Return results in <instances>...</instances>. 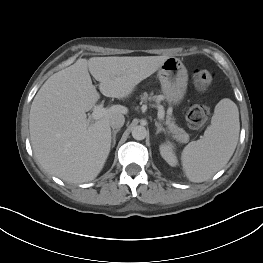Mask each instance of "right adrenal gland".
<instances>
[{"mask_svg":"<svg viewBox=\"0 0 263 263\" xmlns=\"http://www.w3.org/2000/svg\"><path fill=\"white\" fill-rule=\"evenodd\" d=\"M120 131V129L113 130L112 132V147L116 144V134Z\"/></svg>","mask_w":263,"mask_h":263,"instance_id":"obj_1","label":"right adrenal gland"}]
</instances>
